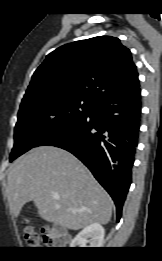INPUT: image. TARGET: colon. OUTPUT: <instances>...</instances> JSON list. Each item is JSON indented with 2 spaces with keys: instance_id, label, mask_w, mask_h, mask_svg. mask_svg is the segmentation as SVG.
<instances>
[{
  "instance_id": "colon-1",
  "label": "colon",
  "mask_w": 162,
  "mask_h": 261,
  "mask_svg": "<svg viewBox=\"0 0 162 261\" xmlns=\"http://www.w3.org/2000/svg\"><path fill=\"white\" fill-rule=\"evenodd\" d=\"M25 241L30 247H38L43 243L44 245L54 249H61L67 244L65 236L60 230L54 227L47 228L41 233L27 227L25 229Z\"/></svg>"
}]
</instances>
